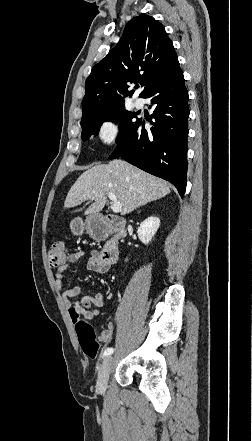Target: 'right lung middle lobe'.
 I'll use <instances>...</instances> for the list:
<instances>
[{
    "instance_id": "dd1d6c3e",
    "label": "right lung middle lobe",
    "mask_w": 252,
    "mask_h": 441,
    "mask_svg": "<svg viewBox=\"0 0 252 441\" xmlns=\"http://www.w3.org/2000/svg\"><path fill=\"white\" fill-rule=\"evenodd\" d=\"M136 114L128 112L124 109V105L102 112L85 123L81 124L83 128L81 138L85 141L91 135H98L101 124L105 121L120 122V132L116 143H121L129 134L131 128L136 122Z\"/></svg>"
}]
</instances>
